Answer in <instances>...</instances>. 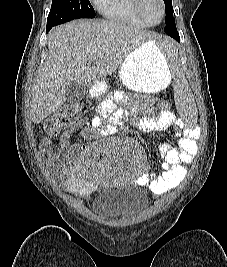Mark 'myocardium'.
<instances>
[{"mask_svg": "<svg viewBox=\"0 0 227 267\" xmlns=\"http://www.w3.org/2000/svg\"><path fill=\"white\" fill-rule=\"evenodd\" d=\"M144 2L145 0H134V6L137 14L141 19H143L148 25H157L163 21L166 15V5L164 0H158L161 5V18L158 22H151L148 20L145 12H144Z\"/></svg>", "mask_w": 227, "mask_h": 267, "instance_id": "myocardium-1", "label": "myocardium"}]
</instances>
